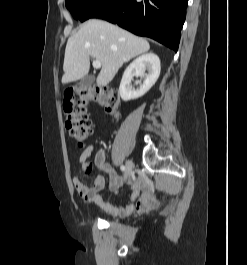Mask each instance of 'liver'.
<instances>
[{"label": "liver", "mask_w": 247, "mask_h": 265, "mask_svg": "<svg viewBox=\"0 0 247 265\" xmlns=\"http://www.w3.org/2000/svg\"><path fill=\"white\" fill-rule=\"evenodd\" d=\"M148 41L106 21L91 19L69 37L65 49L62 84L85 77L90 57L101 62L97 84L105 86L115 77L122 65L148 52Z\"/></svg>", "instance_id": "1"}]
</instances>
